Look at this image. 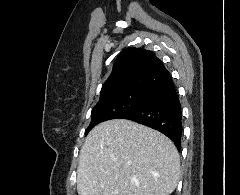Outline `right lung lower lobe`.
<instances>
[{"label":"right lung lower lobe","instance_id":"right-lung-lower-lobe-1","mask_svg":"<svg viewBox=\"0 0 240 195\" xmlns=\"http://www.w3.org/2000/svg\"><path fill=\"white\" fill-rule=\"evenodd\" d=\"M120 119L144 124L169 137L178 150L181 147L182 111L171 77L151 88L143 101Z\"/></svg>","mask_w":240,"mask_h":195}]
</instances>
